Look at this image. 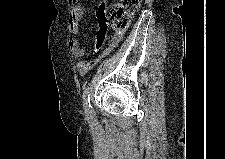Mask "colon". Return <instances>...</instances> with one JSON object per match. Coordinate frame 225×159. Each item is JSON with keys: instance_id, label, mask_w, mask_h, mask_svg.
<instances>
[{"instance_id": "1", "label": "colon", "mask_w": 225, "mask_h": 159, "mask_svg": "<svg viewBox=\"0 0 225 159\" xmlns=\"http://www.w3.org/2000/svg\"><path fill=\"white\" fill-rule=\"evenodd\" d=\"M76 4L79 0H70ZM140 0H121L120 2L103 5L100 9V22L102 28L110 26L114 31V36L119 38L128 28L133 14L138 10ZM116 39L112 40V45Z\"/></svg>"}]
</instances>
